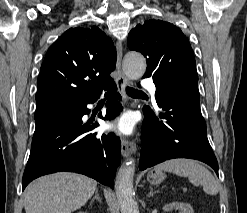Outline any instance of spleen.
I'll list each match as a JSON object with an SVG mask.
<instances>
[{"label": "spleen", "instance_id": "spleen-1", "mask_svg": "<svg viewBox=\"0 0 247 213\" xmlns=\"http://www.w3.org/2000/svg\"><path fill=\"white\" fill-rule=\"evenodd\" d=\"M155 171H166L181 177H188L189 181L201 185L206 194L216 195L219 191V182L204 166L195 160L178 158L165 161L154 168Z\"/></svg>", "mask_w": 247, "mask_h": 213}]
</instances>
